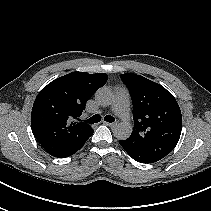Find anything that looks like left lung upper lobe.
<instances>
[{
    "mask_svg": "<svg viewBox=\"0 0 211 211\" xmlns=\"http://www.w3.org/2000/svg\"><path fill=\"white\" fill-rule=\"evenodd\" d=\"M133 102V132L125 141L160 159L177 145L182 130L180 107L163 86L137 74H121Z\"/></svg>",
    "mask_w": 211,
    "mask_h": 211,
    "instance_id": "obj_1",
    "label": "left lung upper lobe"
}]
</instances>
